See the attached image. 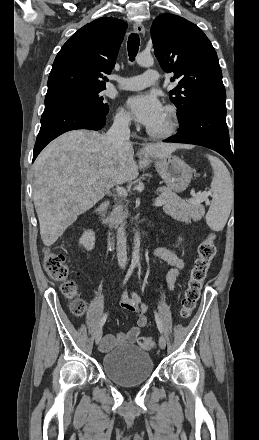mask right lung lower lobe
I'll list each match as a JSON object with an SVG mask.
<instances>
[{"label": "right lung lower lobe", "instance_id": "1", "mask_svg": "<svg viewBox=\"0 0 259 440\" xmlns=\"http://www.w3.org/2000/svg\"><path fill=\"white\" fill-rule=\"evenodd\" d=\"M106 123V114L79 106L45 109L36 139L33 161L42 149L59 135L75 129L100 130Z\"/></svg>", "mask_w": 259, "mask_h": 440}]
</instances>
